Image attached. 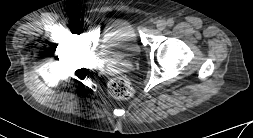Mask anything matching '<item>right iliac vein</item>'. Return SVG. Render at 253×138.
<instances>
[{"instance_id": "obj_1", "label": "right iliac vein", "mask_w": 253, "mask_h": 138, "mask_svg": "<svg viewBox=\"0 0 253 138\" xmlns=\"http://www.w3.org/2000/svg\"><path fill=\"white\" fill-rule=\"evenodd\" d=\"M70 27L73 29V30H76L78 28V25L76 23H71L70 24Z\"/></svg>"}]
</instances>
